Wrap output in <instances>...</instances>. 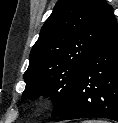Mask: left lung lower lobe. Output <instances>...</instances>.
Instances as JSON below:
<instances>
[{"label":"left lung lower lobe","mask_w":118,"mask_h":123,"mask_svg":"<svg viewBox=\"0 0 118 123\" xmlns=\"http://www.w3.org/2000/svg\"><path fill=\"white\" fill-rule=\"evenodd\" d=\"M101 117L118 121V25L100 40L83 67L62 120Z\"/></svg>","instance_id":"1"}]
</instances>
